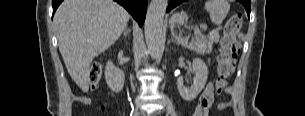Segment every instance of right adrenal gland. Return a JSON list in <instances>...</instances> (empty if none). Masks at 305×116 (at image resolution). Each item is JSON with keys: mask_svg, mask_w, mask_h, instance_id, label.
<instances>
[{"mask_svg": "<svg viewBox=\"0 0 305 116\" xmlns=\"http://www.w3.org/2000/svg\"><path fill=\"white\" fill-rule=\"evenodd\" d=\"M128 33H130V29L126 27L125 30L123 31V35L126 37Z\"/></svg>", "mask_w": 305, "mask_h": 116, "instance_id": "right-adrenal-gland-1", "label": "right adrenal gland"}]
</instances>
